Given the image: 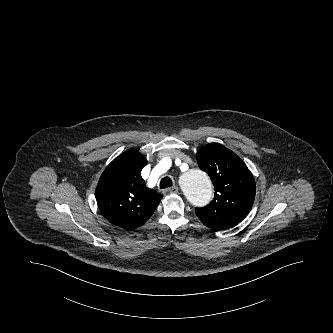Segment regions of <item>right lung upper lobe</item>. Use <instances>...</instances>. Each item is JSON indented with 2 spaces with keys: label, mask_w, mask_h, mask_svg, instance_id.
I'll list each match as a JSON object with an SVG mask.
<instances>
[{
  "label": "right lung upper lobe",
  "mask_w": 333,
  "mask_h": 333,
  "mask_svg": "<svg viewBox=\"0 0 333 333\" xmlns=\"http://www.w3.org/2000/svg\"><path fill=\"white\" fill-rule=\"evenodd\" d=\"M146 158L129 149L114 159L102 173L96 188L101 214L126 230L143 225L154 213L162 195L145 185L141 170Z\"/></svg>",
  "instance_id": "1"
}]
</instances>
